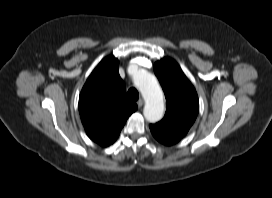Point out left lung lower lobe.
I'll return each mask as SVG.
<instances>
[{"label": "left lung lower lobe", "instance_id": "0a47b994", "mask_svg": "<svg viewBox=\"0 0 272 198\" xmlns=\"http://www.w3.org/2000/svg\"><path fill=\"white\" fill-rule=\"evenodd\" d=\"M150 130L153 136L164 145H173L177 143L182 137L168 132L156 125H150Z\"/></svg>", "mask_w": 272, "mask_h": 198}]
</instances>
